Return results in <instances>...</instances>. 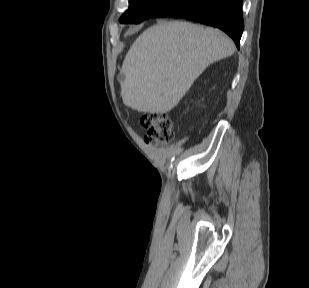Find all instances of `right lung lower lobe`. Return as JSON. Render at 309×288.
<instances>
[{"mask_svg": "<svg viewBox=\"0 0 309 288\" xmlns=\"http://www.w3.org/2000/svg\"><path fill=\"white\" fill-rule=\"evenodd\" d=\"M243 0H170L148 18L181 17L220 28L239 48L244 22Z\"/></svg>", "mask_w": 309, "mask_h": 288, "instance_id": "1", "label": "right lung lower lobe"}]
</instances>
